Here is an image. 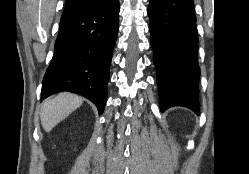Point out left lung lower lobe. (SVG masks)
I'll use <instances>...</instances> for the list:
<instances>
[{
  "label": "left lung lower lobe",
  "mask_w": 249,
  "mask_h": 174,
  "mask_svg": "<svg viewBox=\"0 0 249 174\" xmlns=\"http://www.w3.org/2000/svg\"><path fill=\"white\" fill-rule=\"evenodd\" d=\"M148 15L161 111L177 105L199 115V39L193 0H150Z\"/></svg>",
  "instance_id": "left-lung-lower-lobe-1"
}]
</instances>
